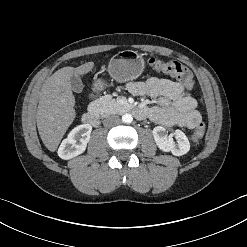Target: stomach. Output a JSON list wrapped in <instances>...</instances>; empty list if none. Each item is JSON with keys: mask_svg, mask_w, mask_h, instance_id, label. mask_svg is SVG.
Returning a JSON list of instances; mask_svg holds the SVG:
<instances>
[{"mask_svg": "<svg viewBox=\"0 0 247 247\" xmlns=\"http://www.w3.org/2000/svg\"><path fill=\"white\" fill-rule=\"evenodd\" d=\"M144 65V60L136 51L124 50L110 60L108 72L116 81L127 82L138 78L143 72ZM95 86L102 88L104 82L98 80Z\"/></svg>", "mask_w": 247, "mask_h": 247, "instance_id": "stomach-1", "label": "stomach"}]
</instances>
